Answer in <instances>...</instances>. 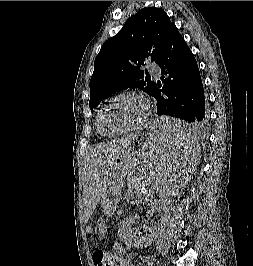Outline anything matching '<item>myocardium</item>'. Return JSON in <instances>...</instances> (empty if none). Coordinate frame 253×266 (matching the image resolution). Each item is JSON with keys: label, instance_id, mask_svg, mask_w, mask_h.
Wrapping results in <instances>:
<instances>
[{"label": "myocardium", "instance_id": "f54148a6", "mask_svg": "<svg viewBox=\"0 0 253 266\" xmlns=\"http://www.w3.org/2000/svg\"><path fill=\"white\" fill-rule=\"evenodd\" d=\"M123 97H134V98L139 99L142 102L143 107H144L143 108V112L139 116V118L134 123H132L129 127L125 128V129H123L121 131L112 133V134H106V133H104L101 130V127H100L101 114H102L103 110L108 105H110L114 101H116V100H118L120 98H123ZM150 113H151V102L142 92L134 91V90H126V91L120 92L117 95L113 96L104 105H102V107L99 109V111L97 113V116H96V122H95L96 129H97V132L99 133V135L102 136V137L110 138V137L120 136L122 134H126V133H128L130 131H133L134 129L140 127L147 120V118L149 117Z\"/></svg>", "mask_w": 253, "mask_h": 266}]
</instances>
